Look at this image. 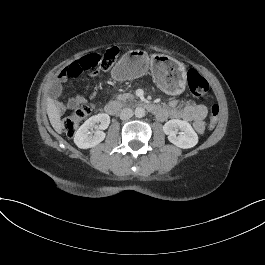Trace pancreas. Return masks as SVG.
<instances>
[{
	"label": "pancreas",
	"instance_id": "pancreas-1",
	"mask_svg": "<svg viewBox=\"0 0 265 265\" xmlns=\"http://www.w3.org/2000/svg\"><path fill=\"white\" fill-rule=\"evenodd\" d=\"M134 99V95L130 93H124L117 96V100H121L123 102H126V100H132Z\"/></svg>",
	"mask_w": 265,
	"mask_h": 265
}]
</instances>
